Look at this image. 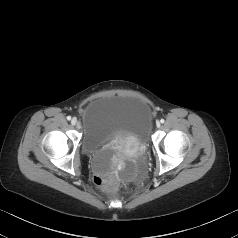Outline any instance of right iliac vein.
<instances>
[{
	"label": "right iliac vein",
	"instance_id": "right-iliac-vein-1",
	"mask_svg": "<svg viewBox=\"0 0 238 238\" xmlns=\"http://www.w3.org/2000/svg\"><path fill=\"white\" fill-rule=\"evenodd\" d=\"M71 124H72V125H77V124H78L77 119H76V118H73V119L71 120Z\"/></svg>",
	"mask_w": 238,
	"mask_h": 238
}]
</instances>
